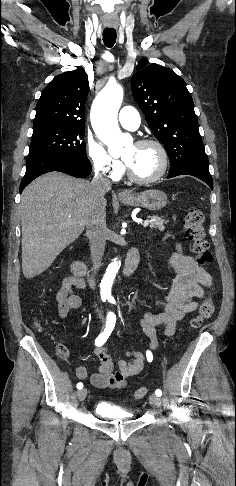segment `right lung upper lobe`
I'll return each mask as SVG.
<instances>
[{"label":"right lung upper lobe","instance_id":"right-lung-upper-lobe-1","mask_svg":"<svg viewBox=\"0 0 236 486\" xmlns=\"http://www.w3.org/2000/svg\"><path fill=\"white\" fill-rule=\"evenodd\" d=\"M87 94L88 80L82 67L56 76L42 91L33 127H84Z\"/></svg>","mask_w":236,"mask_h":486}]
</instances>
